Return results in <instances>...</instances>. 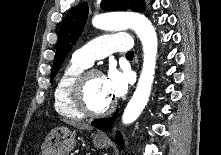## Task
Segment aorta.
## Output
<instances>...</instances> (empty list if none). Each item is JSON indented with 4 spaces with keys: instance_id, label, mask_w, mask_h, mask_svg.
<instances>
[{
    "instance_id": "762f6f07",
    "label": "aorta",
    "mask_w": 221,
    "mask_h": 155,
    "mask_svg": "<svg viewBox=\"0 0 221 155\" xmlns=\"http://www.w3.org/2000/svg\"><path fill=\"white\" fill-rule=\"evenodd\" d=\"M92 24L106 31L131 28L142 42L144 53L142 71L136 90L122 116L123 123L130 124L140 116L151 93L158 49L155 29L144 15L135 12L98 15L93 18Z\"/></svg>"
}]
</instances>
